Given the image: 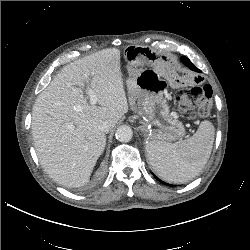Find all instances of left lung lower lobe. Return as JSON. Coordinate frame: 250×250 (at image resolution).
<instances>
[{"instance_id":"left-lung-lower-lobe-1","label":"left lung lower lobe","mask_w":250,"mask_h":250,"mask_svg":"<svg viewBox=\"0 0 250 250\" xmlns=\"http://www.w3.org/2000/svg\"><path fill=\"white\" fill-rule=\"evenodd\" d=\"M181 61H182L187 67H189L190 69H192V70H194V71H197V72H200V70H199L198 68H196V67L193 65V63H192L187 57H182V58H181ZM154 177H155L158 181H160L161 183H163V184H165V185L173 186V185H170V184H167V183L161 181V180H160L159 178H157L155 175H154Z\"/></svg>"}]
</instances>
